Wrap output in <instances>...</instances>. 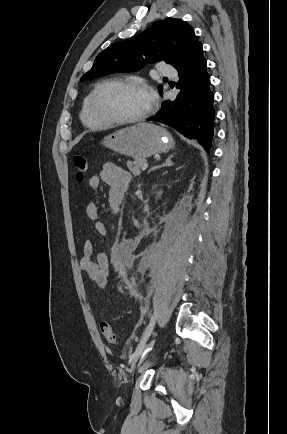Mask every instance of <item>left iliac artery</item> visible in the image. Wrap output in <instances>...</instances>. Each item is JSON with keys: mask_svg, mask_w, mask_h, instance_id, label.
<instances>
[{"mask_svg": "<svg viewBox=\"0 0 287 434\" xmlns=\"http://www.w3.org/2000/svg\"><path fill=\"white\" fill-rule=\"evenodd\" d=\"M155 323H156V315H154L151 318L150 323H149L147 329L145 330L143 337L141 338V340H140V342H139V344H138V346H137L134 354L132 355V361H133V363H135L137 360H139V358L141 357V355L143 353L144 354L146 353V351L143 352V348H144L147 340L149 339V337H150V335H151V333H152V331L154 329Z\"/></svg>", "mask_w": 287, "mask_h": 434, "instance_id": "left-iliac-artery-1", "label": "left iliac artery"}]
</instances>
